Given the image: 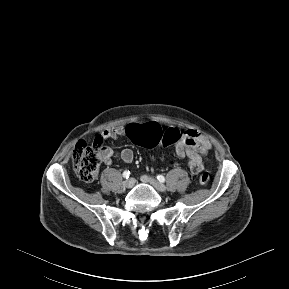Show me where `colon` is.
<instances>
[{"instance_id":"1","label":"colon","mask_w":289,"mask_h":289,"mask_svg":"<svg viewBox=\"0 0 289 289\" xmlns=\"http://www.w3.org/2000/svg\"><path fill=\"white\" fill-rule=\"evenodd\" d=\"M129 138L137 145L145 148H152L158 144L163 146L178 142L182 134L177 129L163 130L158 124L150 123L145 126L130 125L126 128ZM101 141L97 139L93 144L79 141L72 153V163L78 177L84 182H92L98 173L102 160ZM210 176L203 172L199 176V182L205 185L209 182Z\"/></svg>"}]
</instances>
